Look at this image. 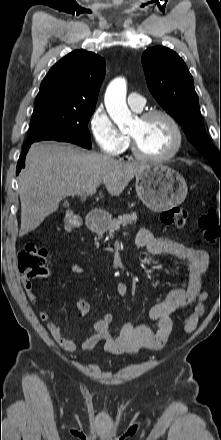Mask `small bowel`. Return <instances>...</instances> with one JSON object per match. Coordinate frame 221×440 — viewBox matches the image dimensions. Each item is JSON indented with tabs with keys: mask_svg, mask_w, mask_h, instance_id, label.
Wrapping results in <instances>:
<instances>
[{
	"mask_svg": "<svg viewBox=\"0 0 221 440\" xmlns=\"http://www.w3.org/2000/svg\"><path fill=\"white\" fill-rule=\"evenodd\" d=\"M135 244L138 248H145L151 255L170 254L182 263L185 277L181 283L173 289L165 299L156 301L148 312L147 319L156 321V331L139 323H127L121 329L120 334L114 337L105 323L103 317L94 323V334L82 342H75L67 338L58 324L50 321V315L46 311L38 313L42 321H46L47 329L60 347L73 351L77 349H92L102 343L104 350L112 354L133 353L142 348L159 349L170 339L173 332L171 316L175 313L191 308L190 314L184 320L183 331H193L204 312L208 296L202 287L208 275V254L201 249L191 248L177 241L167 238H157L145 228L139 230ZM73 273L80 274L83 268L77 264L71 267ZM22 284L29 302L37 303V297L33 292L30 279L22 277ZM119 296H125L128 286L124 282L116 285Z\"/></svg>",
	"mask_w": 221,
	"mask_h": 440,
	"instance_id": "obj_1",
	"label": "small bowel"
}]
</instances>
